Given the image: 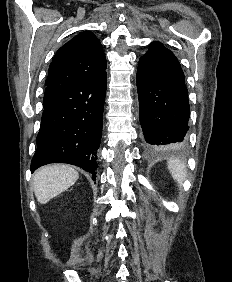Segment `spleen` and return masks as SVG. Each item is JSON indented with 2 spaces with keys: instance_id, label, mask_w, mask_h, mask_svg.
<instances>
[{
  "instance_id": "1",
  "label": "spleen",
  "mask_w": 232,
  "mask_h": 282,
  "mask_svg": "<svg viewBox=\"0 0 232 282\" xmlns=\"http://www.w3.org/2000/svg\"><path fill=\"white\" fill-rule=\"evenodd\" d=\"M167 166L173 179L181 184L186 177V166L177 159H170L167 163Z\"/></svg>"
}]
</instances>
